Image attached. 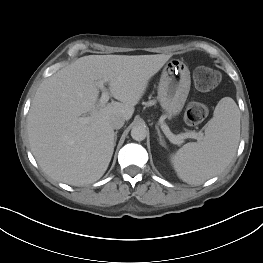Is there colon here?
<instances>
[{
    "mask_svg": "<svg viewBox=\"0 0 263 263\" xmlns=\"http://www.w3.org/2000/svg\"><path fill=\"white\" fill-rule=\"evenodd\" d=\"M220 81L219 73L208 67H198L194 72V83L200 91H209L215 88ZM207 107L199 102L190 103L185 110V121L190 125L201 123L207 116Z\"/></svg>",
    "mask_w": 263,
    "mask_h": 263,
    "instance_id": "obj_1",
    "label": "colon"
}]
</instances>
